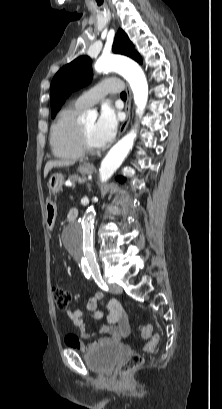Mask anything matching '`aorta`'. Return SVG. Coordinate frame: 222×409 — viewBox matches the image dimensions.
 Wrapping results in <instances>:
<instances>
[{
    "instance_id": "1",
    "label": "aorta",
    "mask_w": 222,
    "mask_h": 409,
    "mask_svg": "<svg viewBox=\"0 0 222 409\" xmlns=\"http://www.w3.org/2000/svg\"><path fill=\"white\" fill-rule=\"evenodd\" d=\"M95 70L99 73L114 71L122 75L132 89L134 102L137 106L136 113L139 115L143 113L148 99V84L143 70L136 62L122 56L106 55L97 60ZM92 116L93 113L90 112L88 117ZM135 138L136 131L132 130L110 149L102 160L99 169L102 182L109 180L120 167L132 149ZM87 212L82 220L75 222L67 229V248L81 261L85 268L89 271H96L98 267L93 248L95 217L93 206L89 207Z\"/></svg>"
}]
</instances>
